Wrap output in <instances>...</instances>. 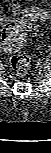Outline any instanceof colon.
I'll use <instances>...</instances> for the list:
<instances>
[{
    "mask_svg": "<svg viewBox=\"0 0 51 153\" xmlns=\"http://www.w3.org/2000/svg\"><path fill=\"white\" fill-rule=\"evenodd\" d=\"M17 0L12 1V9L17 8ZM30 16H41L42 13L37 11H29ZM38 25L28 22L25 19L19 21H7L2 26L1 40L2 45L12 54L11 68L20 76L28 73L30 69V59L22 52L26 42L27 33L30 31H38Z\"/></svg>",
    "mask_w": 51,
    "mask_h": 153,
    "instance_id": "obj_1",
    "label": "colon"
}]
</instances>
